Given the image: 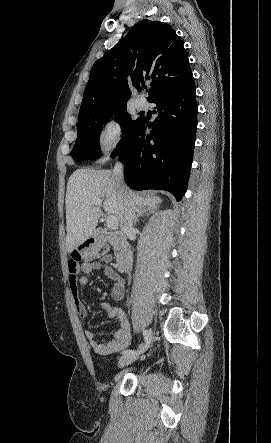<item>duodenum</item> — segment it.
I'll list each match as a JSON object with an SVG mask.
<instances>
[{
	"label": "duodenum",
	"instance_id": "410a0bca",
	"mask_svg": "<svg viewBox=\"0 0 271 443\" xmlns=\"http://www.w3.org/2000/svg\"><path fill=\"white\" fill-rule=\"evenodd\" d=\"M94 237L101 241H107L115 246L117 251L116 268L120 272H125L131 267L134 251L131 244L122 233L97 228L94 231Z\"/></svg>",
	"mask_w": 271,
	"mask_h": 443
}]
</instances>
